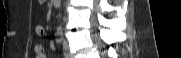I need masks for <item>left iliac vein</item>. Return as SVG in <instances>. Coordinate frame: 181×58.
<instances>
[{
  "label": "left iliac vein",
  "instance_id": "1",
  "mask_svg": "<svg viewBox=\"0 0 181 58\" xmlns=\"http://www.w3.org/2000/svg\"><path fill=\"white\" fill-rule=\"evenodd\" d=\"M63 48H64V56L65 58H71V55L69 53V49H68V44L66 41H64L63 43Z\"/></svg>",
  "mask_w": 181,
  "mask_h": 58
}]
</instances>
